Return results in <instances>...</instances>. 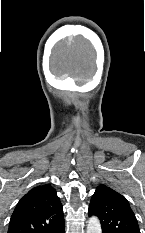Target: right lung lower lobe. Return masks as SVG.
Instances as JSON below:
<instances>
[{
    "label": "right lung lower lobe",
    "instance_id": "right-lung-lower-lobe-1",
    "mask_svg": "<svg viewBox=\"0 0 145 233\" xmlns=\"http://www.w3.org/2000/svg\"><path fill=\"white\" fill-rule=\"evenodd\" d=\"M65 232V226L64 223H62L59 227H57L53 233H64Z\"/></svg>",
    "mask_w": 145,
    "mask_h": 233
}]
</instances>
